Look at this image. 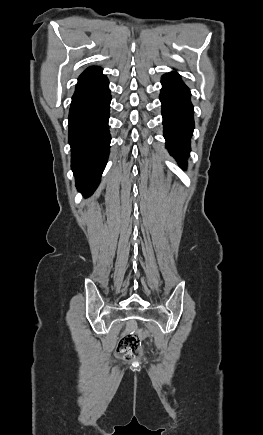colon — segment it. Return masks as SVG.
I'll list each match as a JSON object with an SVG mask.
<instances>
[{
    "label": "colon",
    "mask_w": 263,
    "mask_h": 435,
    "mask_svg": "<svg viewBox=\"0 0 263 435\" xmlns=\"http://www.w3.org/2000/svg\"><path fill=\"white\" fill-rule=\"evenodd\" d=\"M150 332L141 327L139 330H131L119 340L116 352L117 355L126 361L136 358L141 350L140 339H147Z\"/></svg>",
    "instance_id": "5ec220e1"
}]
</instances>
